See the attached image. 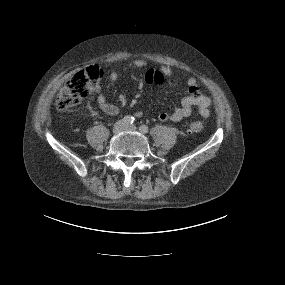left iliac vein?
I'll return each instance as SVG.
<instances>
[{"instance_id": "1", "label": "left iliac vein", "mask_w": 285, "mask_h": 285, "mask_svg": "<svg viewBox=\"0 0 285 285\" xmlns=\"http://www.w3.org/2000/svg\"><path fill=\"white\" fill-rule=\"evenodd\" d=\"M125 130L135 131L136 127L134 125L126 124Z\"/></svg>"}]
</instances>
